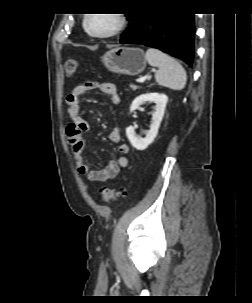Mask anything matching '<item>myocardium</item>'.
Returning <instances> with one entry per match:
<instances>
[{
    "mask_svg": "<svg viewBox=\"0 0 252 303\" xmlns=\"http://www.w3.org/2000/svg\"><path fill=\"white\" fill-rule=\"evenodd\" d=\"M92 15H94V14H92ZM92 15H87L83 19L82 26H83L84 30L86 31V33L93 38L103 39V38L112 37L114 35H117L119 32H121L126 25L125 15L116 13V14H111L115 18V23L111 28H109L105 31H92L89 28V20Z\"/></svg>",
    "mask_w": 252,
    "mask_h": 303,
    "instance_id": "obj_1",
    "label": "myocardium"
}]
</instances>
